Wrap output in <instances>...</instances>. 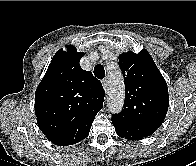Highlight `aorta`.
I'll return each instance as SVG.
<instances>
[{
	"instance_id": "762f6f07",
	"label": "aorta",
	"mask_w": 196,
	"mask_h": 166,
	"mask_svg": "<svg viewBox=\"0 0 196 166\" xmlns=\"http://www.w3.org/2000/svg\"><path fill=\"white\" fill-rule=\"evenodd\" d=\"M107 94L109 110L113 113L120 112L124 104L125 91L122 75L119 71L110 73Z\"/></svg>"
}]
</instances>
